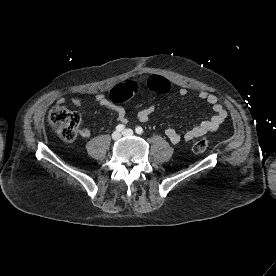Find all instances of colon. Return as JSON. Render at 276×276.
<instances>
[{"instance_id": "obj_1", "label": "colon", "mask_w": 276, "mask_h": 276, "mask_svg": "<svg viewBox=\"0 0 276 276\" xmlns=\"http://www.w3.org/2000/svg\"><path fill=\"white\" fill-rule=\"evenodd\" d=\"M160 81L169 87L166 80L160 79ZM149 86L155 88L156 83L150 82ZM110 94L114 98L128 99L130 97L129 92L123 87L114 88ZM48 121L64 142L71 143L76 139L80 125V115L78 113L70 111L62 105H55L49 111ZM207 148L208 141L206 139L197 140L192 147L195 153H203Z\"/></svg>"}]
</instances>
